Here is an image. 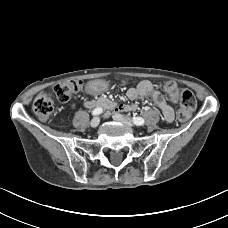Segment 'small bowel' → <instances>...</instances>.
I'll list each match as a JSON object with an SVG mask.
<instances>
[{
	"label": "small bowel",
	"mask_w": 228,
	"mask_h": 228,
	"mask_svg": "<svg viewBox=\"0 0 228 228\" xmlns=\"http://www.w3.org/2000/svg\"><path fill=\"white\" fill-rule=\"evenodd\" d=\"M127 97L130 100H135L137 98H150L153 103L160 109L165 120L167 122H172L174 119V109L172 103L174 99L171 95L161 94L158 90L155 89L153 84L150 81H142L136 87L129 88L126 92ZM103 98H94L85 101V106L87 108H94L102 106L112 112H121V111H135L137 109L136 104H119L115 108H107L103 104Z\"/></svg>",
	"instance_id": "1"
}]
</instances>
